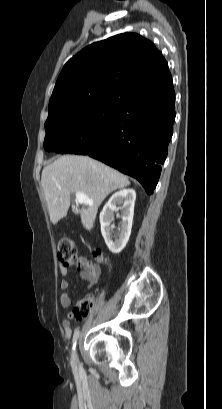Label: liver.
<instances>
[{
	"instance_id": "liver-1",
	"label": "liver",
	"mask_w": 222,
	"mask_h": 409,
	"mask_svg": "<svg viewBox=\"0 0 222 409\" xmlns=\"http://www.w3.org/2000/svg\"><path fill=\"white\" fill-rule=\"evenodd\" d=\"M50 220L67 215L71 194L82 192L93 204L80 209L81 222L91 230L99 206L113 191L130 185L128 177L88 156L65 155L44 167L41 175Z\"/></svg>"
}]
</instances>
